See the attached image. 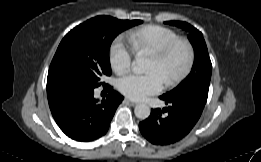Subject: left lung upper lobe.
Instances as JSON below:
<instances>
[{"mask_svg":"<svg viewBox=\"0 0 261 162\" xmlns=\"http://www.w3.org/2000/svg\"><path fill=\"white\" fill-rule=\"evenodd\" d=\"M166 24L176 25L189 31L190 40L195 53V60L190 74L186 79L172 91L162 95L165 97L175 96L179 93H194L204 99L208 97L209 84L211 79L212 64L208 54L205 40L200 31L186 22L167 21Z\"/></svg>","mask_w":261,"mask_h":162,"instance_id":"left-lung-upper-lobe-1","label":"left lung upper lobe"}]
</instances>
